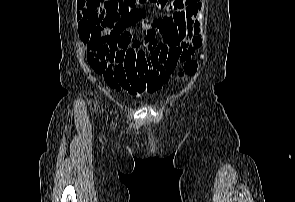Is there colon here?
<instances>
[{"label":"colon","instance_id":"5ec220e1","mask_svg":"<svg viewBox=\"0 0 295 202\" xmlns=\"http://www.w3.org/2000/svg\"><path fill=\"white\" fill-rule=\"evenodd\" d=\"M106 11L107 18L99 23L92 24L86 22L82 33V39L89 49L91 47H108V41L111 37L109 29L113 26V21L116 18H122L134 10L138 3H166L167 0H101ZM111 16V17H110ZM184 73L193 75L197 71V62L191 59L183 60ZM170 73L174 70L171 66L168 67ZM114 80H116L114 78Z\"/></svg>","mask_w":295,"mask_h":202}]
</instances>
